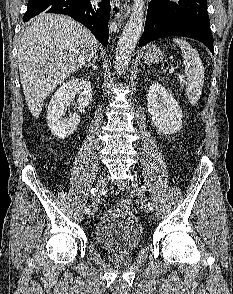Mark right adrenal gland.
Segmentation results:
<instances>
[{"label": "right adrenal gland", "mask_w": 233, "mask_h": 294, "mask_svg": "<svg viewBox=\"0 0 233 294\" xmlns=\"http://www.w3.org/2000/svg\"><path fill=\"white\" fill-rule=\"evenodd\" d=\"M97 60V56H95L92 61L90 63H88L85 67L88 68V67H92L94 70H97L98 67L95 65V62Z\"/></svg>", "instance_id": "right-adrenal-gland-1"}]
</instances>
